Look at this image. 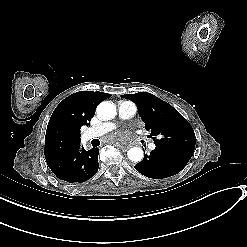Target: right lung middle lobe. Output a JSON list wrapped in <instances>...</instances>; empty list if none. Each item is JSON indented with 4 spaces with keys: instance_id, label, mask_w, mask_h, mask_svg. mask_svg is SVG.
I'll return each instance as SVG.
<instances>
[{
    "instance_id": "obj_1",
    "label": "right lung middle lobe",
    "mask_w": 247,
    "mask_h": 247,
    "mask_svg": "<svg viewBox=\"0 0 247 247\" xmlns=\"http://www.w3.org/2000/svg\"><path fill=\"white\" fill-rule=\"evenodd\" d=\"M67 148H65L64 146H60L58 148H56L54 151H52V153L50 154V156L59 154L60 152L65 151Z\"/></svg>"
}]
</instances>
